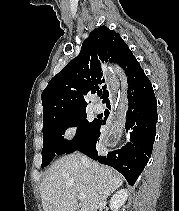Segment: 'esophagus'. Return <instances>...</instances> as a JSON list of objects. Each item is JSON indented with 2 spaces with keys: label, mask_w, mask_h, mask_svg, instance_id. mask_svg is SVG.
Listing matches in <instances>:
<instances>
[{
  "label": "esophagus",
  "mask_w": 179,
  "mask_h": 211,
  "mask_svg": "<svg viewBox=\"0 0 179 211\" xmlns=\"http://www.w3.org/2000/svg\"><path fill=\"white\" fill-rule=\"evenodd\" d=\"M103 68L108 74H105L106 82H108L110 98L109 102L111 106V117L109 119V128L107 133H102L100 140V149H109V145H117V141H121V133L124 130L125 121V109H128L129 101L124 93L125 87L121 86L123 79H126V74H123V70H117L116 67H109L108 64H104Z\"/></svg>",
  "instance_id": "esophagus-1"
}]
</instances>
